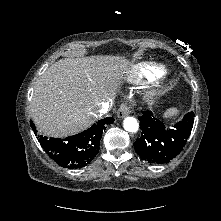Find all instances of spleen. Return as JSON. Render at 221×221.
<instances>
[{"label":"spleen","instance_id":"obj_1","mask_svg":"<svg viewBox=\"0 0 221 221\" xmlns=\"http://www.w3.org/2000/svg\"><path fill=\"white\" fill-rule=\"evenodd\" d=\"M179 110L177 108H169L165 113V118H170L172 116H176L178 114Z\"/></svg>","mask_w":221,"mask_h":221}]
</instances>
